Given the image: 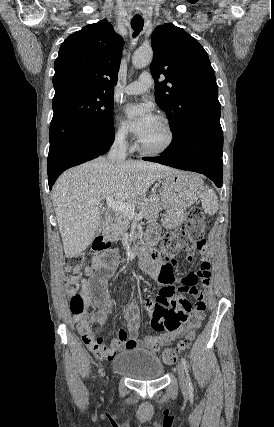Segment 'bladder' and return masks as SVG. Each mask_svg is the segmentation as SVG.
<instances>
[{
    "mask_svg": "<svg viewBox=\"0 0 274 427\" xmlns=\"http://www.w3.org/2000/svg\"><path fill=\"white\" fill-rule=\"evenodd\" d=\"M116 374L133 380H151L163 377L165 366L160 358L145 349H129L113 358Z\"/></svg>",
    "mask_w": 274,
    "mask_h": 427,
    "instance_id": "obj_1",
    "label": "bladder"
}]
</instances>
